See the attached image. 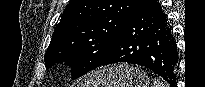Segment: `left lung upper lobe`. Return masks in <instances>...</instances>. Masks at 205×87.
Here are the masks:
<instances>
[{"label":"left lung upper lobe","instance_id":"5c2ea615","mask_svg":"<svg viewBox=\"0 0 205 87\" xmlns=\"http://www.w3.org/2000/svg\"><path fill=\"white\" fill-rule=\"evenodd\" d=\"M136 0H71L57 24L44 60L71 66L76 79L109 55Z\"/></svg>","mask_w":205,"mask_h":87}]
</instances>
